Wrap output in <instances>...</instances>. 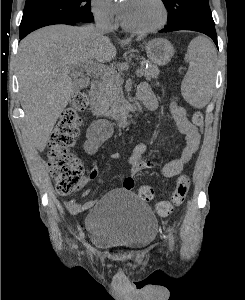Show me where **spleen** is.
<instances>
[{
    "label": "spleen",
    "mask_w": 245,
    "mask_h": 300,
    "mask_svg": "<svg viewBox=\"0 0 245 300\" xmlns=\"http://www.w3.org/2000/svg\"><path fill=\"white\" fill-rule=\"evenodd\" d=\"M189 69L182 81L183 98L196 108L205 107L212 96L215 77L216 51L205 37H196L187 50Z\"/></svg>",
    "instance_id": "3e777b00"
}]
</instances>
